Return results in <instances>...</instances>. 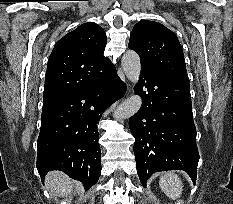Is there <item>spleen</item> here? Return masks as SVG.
<instances>
[{
  "label": "spleen",
  "instance_id": "3e777b00",
  "mask_svg": "<svg viewBox=\"0 0 233 204\" xmlns=\"http://www.w3.org/2000/svg\"><path fill=\"white\" fill-rule=\"evenodd\" d=\"M161 190L171 199L176 200L182 195V181L173 172L164 173L159 180Z\"/></svg>",
  "mask_w": 233,
  "mask_h": 204
}]
</instances>
